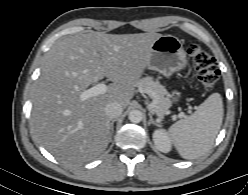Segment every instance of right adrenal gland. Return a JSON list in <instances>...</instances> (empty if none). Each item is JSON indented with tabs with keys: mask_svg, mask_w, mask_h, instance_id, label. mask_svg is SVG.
<instances>
[{
	"mask_svg": "<svg viewBox=\"0 0 248 195\" xmlns=\"http://www.w3.org/2000/svg\"><path fill=\"white\" fill-rule=\"evenodd\" d=\"M115 121H116V119H113V120H111V123H110V125H111V137H112L113 132H114V122ZM111 137H110V141H111Z\"/></svg>",
	"mask_w": 248,
	"mask_h": 195,
	"instance_id": "right-adrenal-gland-1",
	"label": "right adrenal gland"
}]
</instances>
